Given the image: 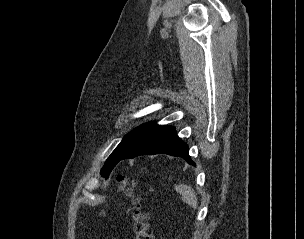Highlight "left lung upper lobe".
I'll use <instances>...</instances> for the list:
<instances>
[{"mask_svg":"<svg viewBox=\"0 0 304 239\" xmlns=\"http://www.w3.org/2000/svg\"><path fill=\"white\" fill-rule=\"evenodd\" d=\"M159 128V125H157L155 122H151L143 124L135 128L131 133L127 134L106 160L100 172L102 177H105L107 179L112 169L127 152H129L136 144H138L140 141L148 137Z\"/></svg>","mask_w":304,"mask_h":239,"instance_id":"1","label":"left lung upper lobe"}]
</instances>
